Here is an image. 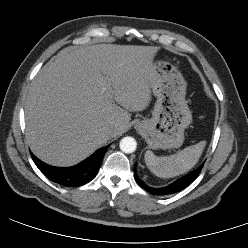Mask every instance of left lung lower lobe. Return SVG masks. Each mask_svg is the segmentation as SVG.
Masks as SVG:
<instances>
[{
	"instance_id": "left-lung-lower-lobe-1",
	"label": "left lung lower lobe",
	"mask_w": 248,
	"mask_h": 248,
	"mask_svg": "<svg viewBox=\"0 0 248 248\" xmlns=\"http://www.w3.org/2000/svg\"><path fill=\"white\" fill-rule=\"evenodd\" d=\"M203 167V164L201 166H199L197 169H195L194 171H192L191 173L185 175L184 177L174 181L173 183L165 186V187H161V188H153V187H149L148 185H146L136 174V166L134 167V178L137 182V184L143 188L144 190H146L147 192L153 194V195H158V196H163V195H170V194H174L177 192H180L181 190L185 189L187 186H189L200 174L201 169Z\"/></svg>"
}]
</instances>
